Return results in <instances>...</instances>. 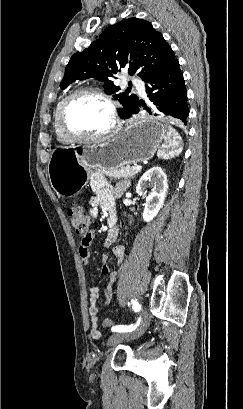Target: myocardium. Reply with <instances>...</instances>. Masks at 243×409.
<instances>
[{"label":"myocardium","instance_id":"f54148a6","mask_svg":"<svg viewBox=\"0 0 243 409\" xmlns=\"http://www.w3.org/2000/svg\"><path fill=\"white\" fill-rule=\"evenodd\" d=\"M82 95H91L94 96L100 100H102L109 109L110 117H111V125L108 129L105 131L94 134V135H82V134H77L69 130L66 124V114L68 111V108L71 104V102ZM58 121H59V126L66 138H68L70 141H76V142H89V141H100L104 140L113 134H115L119 128H120V120L118 116V111H117V106L115 101L112 99L110 95L105 93L104 91L98 89V88H91V87H86V88H80L69 94L67 97L62 102V105L59 110V115H58Z\"/></svg>","mask_w":243,"mask_h":409}]
</instances>
